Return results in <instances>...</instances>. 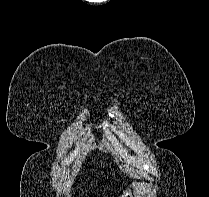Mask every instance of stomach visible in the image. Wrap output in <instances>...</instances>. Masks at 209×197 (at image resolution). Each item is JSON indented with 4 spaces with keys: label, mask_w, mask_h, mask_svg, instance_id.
<instances>
[{
    "label": "stomach",
    "mask_w": 209,
    "mask_h": 197,
    "mask_svg": "<svg viewBox=\"0 0 209 197\" xmlns=\"http://www.w3.org/2000/svg\"><path fill=\"white\" fill-rule=\"evenodd\" d=\"M140 187V183L134 180L131 183L130 187L123 191L120 197H140L139 194L136 192L138 189H140Z\"/></svg>",
    "instance_id": "1"
}]
</instances>
